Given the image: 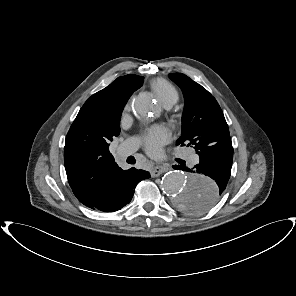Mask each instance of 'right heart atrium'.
Instances as JSON below:
<instances>
[{
	"label": "right heart atrium",
	"instance_id": "d8ad5b80",
	"mask_svg": "<svg viewBox=\"0 0 296 296\" xmlns=\"http://www.w3.org/2000/svg\"><path fill=\"white\" fill-rule=\"evenodd\" d=\"M128 110H129V105L127 104V105L125 106V108H124V113H123V114H125Z\"/></svg>",
	"mask_w": 296,
	"mask_h": 296
}]
</instances>
